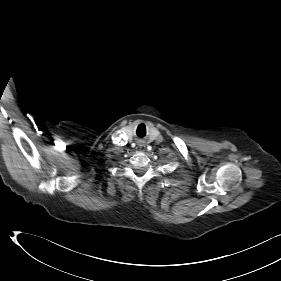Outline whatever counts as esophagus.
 Masks as SVG:
<instances>
[{"label":"esophagus","mask_w":281,"mask_h":281,"mask_svg":"<svg viewBox=\"0 0 281 281\" xmlns=\"http://www.w3.org/2000/svg\"><path fill=\"white\" fill-rule=\"evenodd\" d=\"M138 146H139L140 150H144L146 147L145 144H143V143H139Z\"/></svg>","instance_id":"34e87169"}]
</instances>
